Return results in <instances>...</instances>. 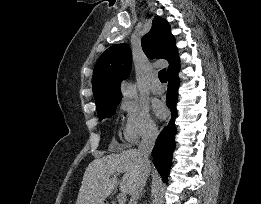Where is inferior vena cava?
<instances>
[{"mask_svg": "<svg viewBox=\"0 0 261 204\" xmlns=\"http://www.w3.org/2000/svg\"><path fill=\"white\" fill-rule=\"evenodd\" d=\"M157 136L158 129L156 127H150L146 133H144L141 142L139 143L138 155L143 173L134 191L131 193L129 204H137L138 199L144 189L150 171L149 155L152 152Z\"/></svg>", "mask_w": 261, "mask_h": 204, "instance_id": "inferior-vena-cava-1", "label": "inferior vena cava"}]
</instances>
